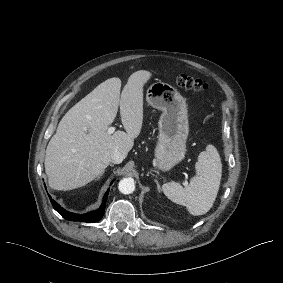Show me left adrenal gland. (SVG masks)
<instances>
[{
    "label": "left adrenal gland",
    "mask_w": 283,
    "mask_h": 283,
    "mask_svg": "<svg viewBox=\"0 0 283 283\" xmlns=\"http://www.w3.org/2000/svg\"><path fill=\"white\" fill-rule=\"evenodd\" d=\"M156 178H157V176H156ZM154 181H155V183L157 184V189H158V191L160 192V191H161V187H160V185H159L158 180L155 179Z\"/></svg>",
    "instance_id": "obj_1"
}]
</instances>
